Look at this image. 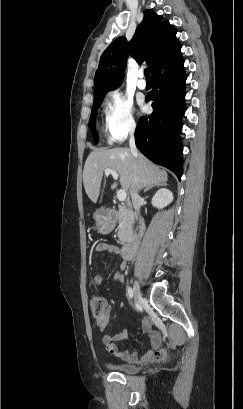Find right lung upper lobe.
Listing matches in <instances>:
<instances>
[{"mask_svg":"<svg viewBox=\"0 0 243 409\" xmlns=\"http://www.w3.org/2000/svg\"><path fill=\"white\" fill-rule=\"evenodd\" d=\"M179 46L175 27L153 10H146L130 42L119 37L102 53L94 79V100L120 86L129 53L139 63L146 61L153 73Z\"/></svg>","mask_w":243,"mask_h":409,"instance_id":"obj_1","label":"right lung upper lobe"}]
</instances>
